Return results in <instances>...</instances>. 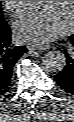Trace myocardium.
Wrapping results in <instances>:
<instances>
[{"mask_svg":"<svg viewBox=\"0 0 74 122\" xmlns=\"http://www.w3.org/2000/svg\"><path fill=\"white\" fill-rule=\"evenodd\" d=\"M71 3H72L71 23L73 24L74 23V1H71Z\"/></svg>","mask_w":74,"mask_h":122,"instance_id":"myocardium-1","label":"myocardium"}]
</instances>
